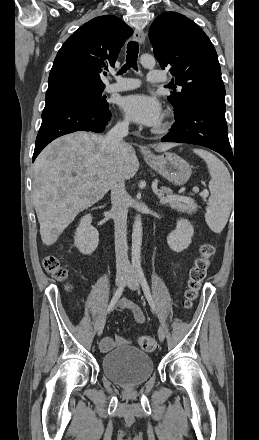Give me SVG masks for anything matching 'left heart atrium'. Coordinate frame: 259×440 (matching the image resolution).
<instances>
[{"label": "left heart atrium", "instance_id": "left-heart-atrium-1", "mask_svg": "<svg viewBox=\"0 0 259 440\" xmlns=\"http://www.w3.org/2000/svg\"><path fill=\"white\" fill-rule=\"evenodd\" d=\"M119 105L132 121L145 125L157 126L162 120L160 103L146 94H131L121 98Z\"/></svg>", "mask_w": 259, "mask_h": 440}]
</instances>
